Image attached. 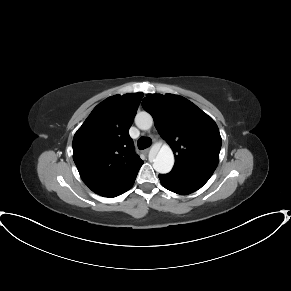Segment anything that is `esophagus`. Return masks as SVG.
Here are the masks:
<instances>
[{
	"mask_svg": "<svg viewBox=\"0 0 291 291\" xmlns=\"http://www.w3.org/2000/svg\"><path fill=\"white\" fill-rule=\"evenodd\" d=\"M149 151H150L149 148H148V149H145V150H144V153H145V154H148Z\"/></svg>",
	"mask_w": 291,
	"mask_h": 291,
	"instance_id": "1",
	"label": "esophagus"
}]
</instances>
